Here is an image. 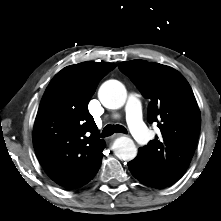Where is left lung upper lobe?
<instances>
[{
	"label": "left lung upper lobe",
	"mask_w": 221,
	"mask_h": 221,
	"mask_svg": "<svg viewBox=\"0 0 221 221\" xmlns=\"http://www.w3.org/2000/svg\"><path fill=\"white\" fill-rule=\"evenodd\" d=\"M118 67L150 100L147 119L157 122L161 136L138 155L154 184L165 188L183 176L194 154L201 126L196 99L187 80L169 66L136 59Z\"/></svg>",
	"instance_id": "1"
}]
</instances>
